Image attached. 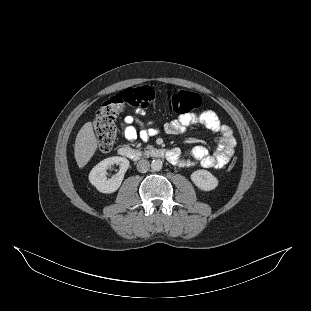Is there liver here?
Instances as JSON below:
<instances>
[{
  "label": "liver",
  "mask_w": 311,
  "mask_h": 311,
  "mask_svg": "<svg viewBox=\"0 0 311 311\" xmlns=\"http://www.w3.org/2000/svg\"><path fill=\"white\" fill-rule=\"evenodd\" d=\"M97 149V139L91 122L85 123L79 130L76 140L74 155L79 168H83L94 155Z\"/></svg>",
  "instance_id": "6515ba94"
}]
</instances>
